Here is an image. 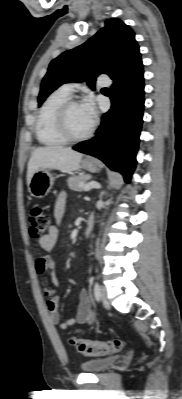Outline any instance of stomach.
Segmentation results:
<instances>
[{
    "mask_svg": "<svg viewBox=\"0 0 182 399\" xmlns=\"http://www.w3.org/2000/svg\"><path fill=\"white\" fill-rule=\"evenodd\" d=\"M81 167L87 171L96 172L99 170L100 163L95 159H85ZM50 170V168H44L33 174L28 186L31 196L43 198L51 191L55 178Z\"/></svg>",
    "mask_w": 182,
    "mask_h": 399,
    "instance_id": "1",
    "label": "stomach"
}]
</instances>
